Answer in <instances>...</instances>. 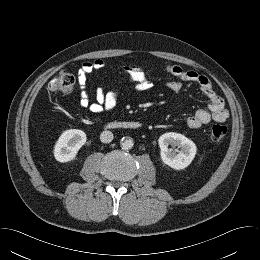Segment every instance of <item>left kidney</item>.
Listing matches in <instances>:
<instances>
[{"instance_id":"5707ae66","label":"left kidney","mask_w":260,"mask_h":260,"mask_svg":"<svg viewBox=\"0 0 260 260\" xmlns=\"http://www.w3.org/2000/svg\"><path fill=\"white\" fill-rule=\"evenodd\" d=\"M158 144L161 149L160 156L162 161L175 170H181L189 166L197 150L192 140L175 132L161 135ZM169 145L180 148V151L175 153L168 148Z\"/></svg>"}]
</instances>
